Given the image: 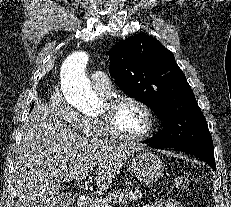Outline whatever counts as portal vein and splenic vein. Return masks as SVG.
<instances>
[{
    "mask_svg": "<svg viewBox=\"0 0 231 207\" xmlns=\"http://www.w3.org/2000/svg\"><path fill=\"white\" fill-rule=\"evenodd\" d=\"M86 177H87V176H84V177L82 178V180H85V179H86Z\"/></svg>",
    "mask_w": 231,
    "mask_h": 207,
    "instance_id": "portal-vein-and-splenic-vein-1",
    "label": "portal vein and splenic vein"
}]
</instances>
